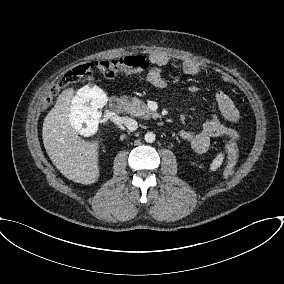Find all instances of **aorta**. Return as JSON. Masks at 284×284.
Wrapping results in <instances>:
<instances>
[{
  "instance_id": "aorta-1",
  "label": "aorta",
  "mask_w": 284,
  "mask_h": 284,
  "mask_svg": "<svg viewBox=\"0 0 284 284\" xmlns=\"http://www.w3.org/2000/svg\"><path fill=\"white\" fill-rule=\"evenodd\" d=\"M156 137L153 132H147L145 134V141L148 143H153L155 141Z\"/></svg>"
}]
</instances>
